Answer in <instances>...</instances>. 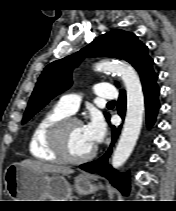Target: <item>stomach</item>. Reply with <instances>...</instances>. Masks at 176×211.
I'll return each mask as SVG.
<instances>
[{
	"instance_id": "stomach-1",
	"label": "stomach",
	"mask_w": 176,
	"mask_h": 211,
	"mask_svg": "<svg viewBox=\"0 0 176 211\" xmlns=\"http://www.w3.org/2000/svg\"><path fill=\"white\" fill-rule=\"evenodd\" d=\"M5 188L14 201H69L73 190L81 195L94 193L96 185L84 174L75 178L72 186L64 176L32 170L20 163L8 166L4 173Z\"/></svg>"
}]
</instances>
